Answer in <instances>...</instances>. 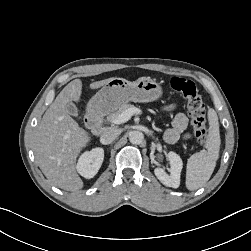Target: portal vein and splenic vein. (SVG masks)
<instances>
[{"instance_id": "18ae733b", "label": "portal vein and splenic vein", "mask_w": 251, "mask_h": 251, "mask_svg": "<svg viewBox=\"0 0 251 251\" xmlns=\"http://www.w3.org/2000/svg\"><path fill=\"white\" fill-rule=\"evenodd\" d=\"M141 112L142 111L136 107L129 108L125 110L124 112H122L120 115H118L116 119L112 121V123L116 125L123 124L127 122L133 115L141 114Z\"/></svg>"}]
</instances>
